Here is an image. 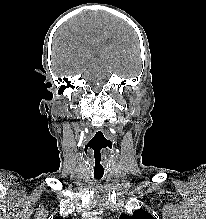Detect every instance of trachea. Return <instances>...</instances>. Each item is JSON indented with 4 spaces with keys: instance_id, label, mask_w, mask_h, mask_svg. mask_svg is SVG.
I'll return each mask as SVG.
<instances>
[{
    "instance_id": "1",
    "label": "trachea",
    "mask_w": 206,
    "mask_h": 219,
    "mask_svg": "<svg viewBox=\"0 0 206 219\" xmlns=\"http://www.w3.org/2000/svg\"><path fill=\"white\" fill-rule=\"evenodd\" d=\"M95 179H101L103 177V175H94Z\"/></svg>"
}]
</instances>
